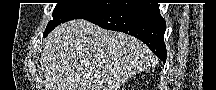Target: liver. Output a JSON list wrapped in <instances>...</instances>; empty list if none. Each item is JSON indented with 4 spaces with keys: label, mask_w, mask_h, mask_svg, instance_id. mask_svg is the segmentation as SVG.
<instances>
[{
    "label": "liver",
    "mask_w": 216,
    "mask_h": 90,
    "mask_svg": "<svg viewBox=\"0 0 216 90\" xmlns=\"http://www.w3.org/2000/svg\"><path fill=\"white\" fill-rule=\"evenodd\" d=\"M151 60L149 48L137 38L72 20L58 26L44 42L43 86L45 90H119Z\"/></svg>",
    "instance_id": "liver-1"
}]
</instances>
